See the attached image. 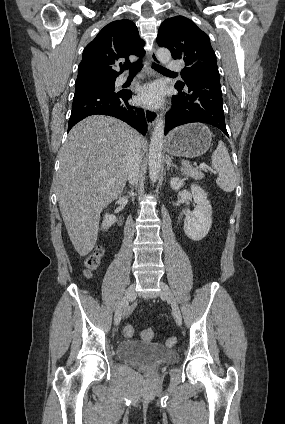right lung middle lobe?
<instances>
[{
	"label": "right lung middle lobe",
	"mask_w": 285,
	"mask_h": 424,
	"mask_svg": "<svg viewBox=\"0 0 285 424\" xmlns=\"http://www.w3.org/2000/svg\"><path fill=\"white\" fill-rule=\"evenodd\" d=\"M84 89H106L110 91H115V80L76 84V91Z\"/></svg>",
	"instance_id": "right-lung-middle-lobe-1"
}]
</instances>
